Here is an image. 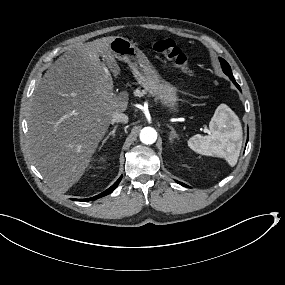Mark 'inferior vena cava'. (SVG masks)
<instances>
[{
	"label": "inferior vena cava",
	"instance_id": "1",
	"mask_svg": "<svg viewBox=\"0 0 285 285\" xmlns=\"http://www.w3.org/2000/svg\"><path fill=\"white\" fill-rule=\"evenodd\" d=\"M111 122L114 124V123H118V122H123V123H127L128 122V117L121 113V112H115L113 115H112V119H111Z\"/></svg>",
	"mask_w": 285,
	"mask_h": 285
}]
</instances>
